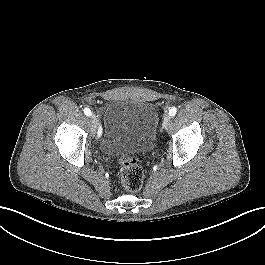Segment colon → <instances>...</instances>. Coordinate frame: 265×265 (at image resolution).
<instances>
[{
  "mask_svg": "<svg viewBox=\"0 0 265 265\" xmlns=\"http://www.w3.org/2000/svg\"><path fill=\"white\" fill-rule=\"evenodd\" d=\"M118 164L120 168L121 186L131 192L140 190L144 180V170L138 164L137 159L135 157L120 159Z\"/></svg>",
  "mask_w": 265,
  "mask_h": 265,
  "instance_id": "5ec220e1",
  "label": "colon"
}]
</instances>
